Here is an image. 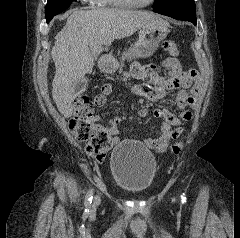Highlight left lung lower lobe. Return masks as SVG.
Masks as SVG:
<instances>
[{
    "label": "left lung lower lobe",
    "instance_id": "0a47b994",
    "mask_svg": "<svg viewBox=\"0 0 240 238\" xmlns=\"http://www.w3.org/2000/svg\"><path fill=\"white\" fill-rule=\"evenodd\" d=\"M154 11L174 19L192 22L194 25H196L197 23L195 12H188L177 9L154 10Z\"/></svg>",
    "mask_w": 240,
    "mask_h": 238
}]
</instances>
